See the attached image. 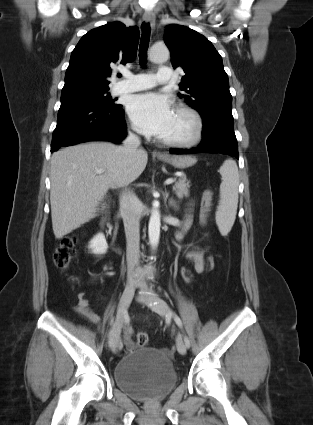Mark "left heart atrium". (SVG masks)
Here are the masks:
<instances>
[{
    "label": "left heart atrium",
    "instance_id": "obj_1",
    "mask_svg": "<svg viewBox=\"0 0 313 425\" xmlns=\"http://www.w3.org/2000/svg\"><path fill=\"white\" fill-rule=\"evenodd\" d=\"M127 111L140 133L159 137L166 134L174 115L170 100L157 93L132 96Z\"/></svg>",
    "mask_w": 313,
    "mask_h": 425
}]
</instances>
